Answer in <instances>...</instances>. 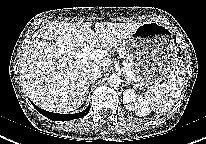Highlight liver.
<instances>
[{
  "instance_id": "obj_1",
  "label": "liver",
  "mask_w": 206,
  "mask_h": 144,
  "mask_svg": "<svg viewBox=\"0 0 206 144\" xmlns=\"http://www.w3.org/2000/svg\"><path fill=\"white\" fill-rule=\"evenodd\" d=\"M141 23L54 22L34 33L21 57L20 79L28 97L39 107L58 113L77 110L86 99L87 71L97 66L105 71L112 61L110 48L129 39ZM100 42L107 55L77 61L70 54Z\"/></svg>"
}]
</instances>
